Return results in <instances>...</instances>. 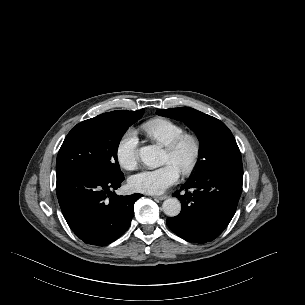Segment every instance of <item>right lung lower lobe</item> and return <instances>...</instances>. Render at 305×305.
I'll return each instance as SVG.
<instances>
[{"label": "right lung lower lobe", "mask_w": 305, "mask_h": 305, "mask_svg": "<svg viewBox=\"0 0 305 305\" xmlns=\"http://www.w3.org/2000/svg\"><path fill=\"white\" fill-rule=\"evenodd\" d=\"M123 180V173L109 178L75 171L57 173L56 193L63 216L83 242L104 246L128 229L134 203L142 195L112 192Z\"/></svg>", "instance_id": "obj_1"}]
</instances>
